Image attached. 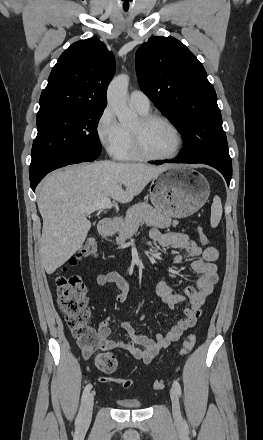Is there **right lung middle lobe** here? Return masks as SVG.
<instances>
[{"label": "right lung middle lobe", "instance_id": "right-lung-middle-lobe-1", "mask_svg": "<svg viewBox=\"0 0 263 440\" xmlns=\"http://www.w3.org/2000/svg\"><path fill=\"white\" fill-rule=\"evenodd\" d=\"M104 108L50 109L37 113L29 175L33 177L61 158L77 163L83 151L99 143L97 125Z\"/></svg>", "mask_w": 263, "mask_h": 440}]
</instances>
